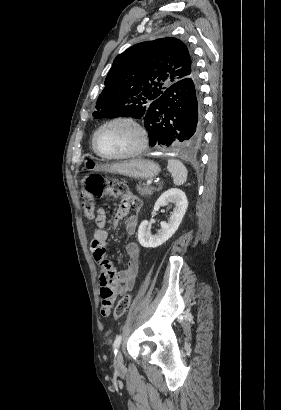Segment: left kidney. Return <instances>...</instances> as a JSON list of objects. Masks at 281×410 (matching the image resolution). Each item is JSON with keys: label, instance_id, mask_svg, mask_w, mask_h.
<instances>
[{"label": "left kidney", "instance_id": "1", "mask_svg": "<svg viewBox=\"0 0 281 410\" xmlns=\"http://www.w3.org/2000/svg\"><path fill=\"white\" fill-rule=\"evenodd\" d=\"M168 203L174 204L173 212L170 214L168 222H161V229L157 234L151 235L148 228V221L141 222L138 228V241L145 248H156L166 242L178 229L186 209L188 201L185 193L178 188H171L165 191L156 201L153 210L158 211L161 206Z\"/></svg>", "mask_w": 281, "mask_h": 410}]
</instances>
